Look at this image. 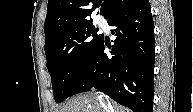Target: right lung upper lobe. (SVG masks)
<instances>
[{
  "instance_id": "right-lung-upper-lobe-1",
  "label": "right lung upper lobe",
  "mask_w": 193,
  "mask_h": 112,
  "mask_svg": "<svg viewBox=\"0 0 193 112\" xmlns=\"http://www.w3.org/2000/svg\"><path fill=\"white\" fill-rule=\"evenodd\" d=\"M133 0H49L44 24L45 42L60 31L83 24L92 23L89 19L94 7L102 2L100 14L109 20ZM93 7V8H91Z\"/></svg>"
}]
</instances>
